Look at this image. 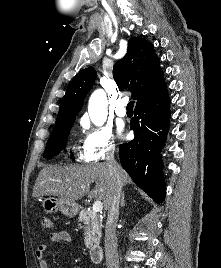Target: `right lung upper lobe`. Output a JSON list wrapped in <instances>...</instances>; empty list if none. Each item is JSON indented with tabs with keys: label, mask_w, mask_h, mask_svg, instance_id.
<instances>
[{
	"label": "right lung upper lobe",
	"mask_w": 221,
	"mask_h": 268,
	"mask_svg": "<svg viewBox=\"0 0 221 268\" xmlns=\"http://www.w3.org/2000/svg\"><path fill=\"white\" fill-rule=\"evenodd\" d=\"M113 77L119 88H128L133 93L136 106L166 91L159 59L153 45L144 38L129 39L127 54L113 66ZM95 79L92 67L81 70L74 77L62 98L55 124L75 119Z\"/></svg>",
	"instance_id": "obj_1"
}]
</instances>
